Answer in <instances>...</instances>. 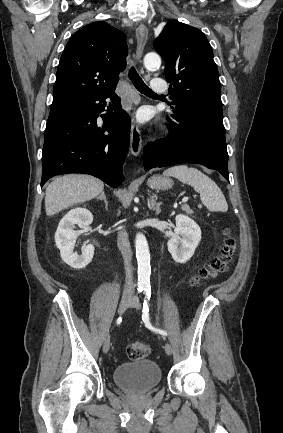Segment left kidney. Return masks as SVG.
<instances>
[{
	"instance_id": "1",
	"label": "left kidney",
	"mask_w": 283,
	"mask_h": 433,
	"mask_svg": "<svg viewBox=\"0 0 283 433\" xmlns=\"http://www.w3.org/2000/svg\"><path fill=\"white\" fill-rule=\"evenodd\" d=\"M176 227L168 240V251L177 263H186L201 240L199 225L186 215H177Z\"/></svg>"
}]
</instances>
